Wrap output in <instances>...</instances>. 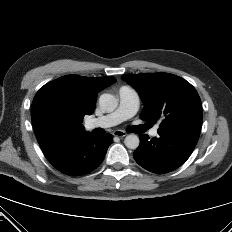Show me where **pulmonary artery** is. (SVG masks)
<instances>
[{"instance_id": "1", "label": "pulmonary artery", "mask_w": 232, "mask_h": 232, "mask_svg": "<svg viewBox=\"0 0 232 232\" xmlns=\"http://www.w3.org/2000/svg\"><path fill=\"white\" fill-rule=\"evenodd\" d=\"M119 105L117 109L105 116L90 119L85 123L87 130L95 128H109L120 124L121 122L133 117L140 105V98L138 93L127 86H123L118 91ZM159 125H156L151 131V136L158 134Z\"/></svg>"}]
</instances>
